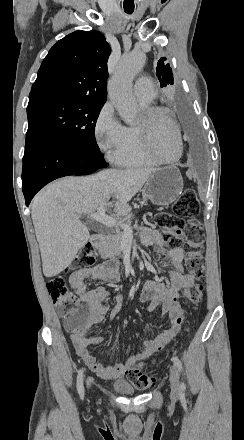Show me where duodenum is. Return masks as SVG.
Returning a JSON list of instances; mask_svg holds the SVG:
<instances>
[{
	"instance_id": "1",
	"label": "duodenum",
	"mask_w": 244,
	"mask_h": 440,
	"mask_svg": "<svg viewBox=\"0 0 244 440\" xmlns=\"http://www.w3.org/2000/svg\"><path fill=\"white\" fill-rule=\"evenodd\" d=\"M91 244L96 249L102 250L105 246L103 235L100 233L94 234L91 238Z\"/></svg>"
}]
</instances>
